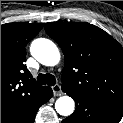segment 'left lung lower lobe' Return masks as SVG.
<instances>
[{
    "instance_id": "obj_1",
    "label": "left lung lower lobe",
    "mask_w": 123,
    "mask_h": 123,
    "mask_svg": "<svg viewBox=\"0 0 123 123\" xmlns=\"http://www.w3.org/2000/svg\"><path fill=\"white\" fill-rule=\"evenodd\" d=\"M62 90L66 92L63 87ZM66 93L75 100L76 109L62 123H119L123 116V109L119 107L82 95Z\"/></svg>"
}]
</instances>
